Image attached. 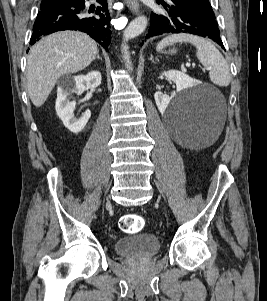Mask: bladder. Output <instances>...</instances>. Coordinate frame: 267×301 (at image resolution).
<instances>
[{
  "instance_id": "bladder-1",
  "label": "bladder",
  "mask_w": 267,
  "mask_h": 301,
  "mask_svg": "<svg viewBox=\"0 0 267 301\" xmlns=\"http://www.w3.org/2000/svg\"><path fill=\"white\" fill-rule=\"evenodd\" d=\"M160 240L150 233H141L117 239L113 244L114 252L118 255L133 257H148L159 252Z\"/></svg>"
}]
</instances>
